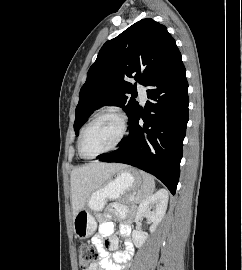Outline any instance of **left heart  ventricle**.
I'll return each instance as SVG.
<instances>
[{
    "label": "left heart ventricle",
    "instance_id": "b2bd125f",
    "mask_svg": "<svg viewBox=\"0 0 242 270\" xmlns=\"http://www.w3.org/2000/svg\"><path fill=\"white\" fill-rule=\"evenodd\" d=\"M121 132L120 121L111 116L97 120L85 133L82 148L86 155H94L110 146L118 139Z\"/></svg>",
    "mask_w": 242,
    "mask_h": 270
}]
</instances>
